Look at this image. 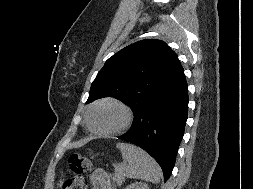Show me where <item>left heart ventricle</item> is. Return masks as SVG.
Segmentation results:
<instances>
[{
	"mask_svg": "<svg viewBox=\"0 0 253 189\" xmlns=\"http://www.w3.org/2000/svg\"><path fill=\"white\" fill-rule=\"evenodd\" d=\"M124 121L123 111L112 104H104L93 110L91 123L98 131H111L119 127Z\"/></svg>",
	"mask_w": 253,
	"mask_h": 189,
	"instance_id": "1",
	"label": "left heart ventricle"
}]
</instances>
